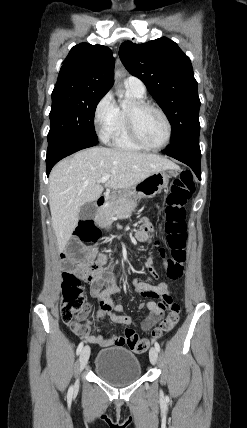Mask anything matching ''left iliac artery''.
Returning <instances> with one entry per match:
<instances>
[{"mask_svg": "<svg viewBox=\"0 0 247 428\" xmlns=\"http://www.w3.org/2000/svg\"><path fill=\"white\" fill-rule=\"evenodd\" d=\"M155 348L158 352L160 351V345L158 342H155Z\"/></svg>", "mask_w": 247, "mask_h": 428, "instance_id": "44dca946", "label": "left iliac artery"}]
</instances>
